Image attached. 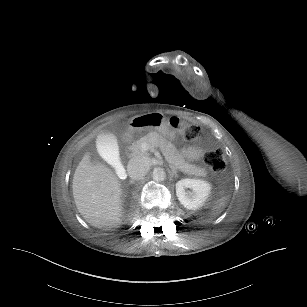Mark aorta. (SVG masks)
Wrapping results in <instances>:
<instances>
[{
    "label": "aorta",
    "instance_id": "762f6f07",
    "mask_svg": "<svg viewBox=\"0 0 307 307\" xmlns=\"http://www.w3.org/2000/svg\"><path fill=\"white\" fill-rule=\"evenodd\" d=\"M152 176H153V180H155V181H157V182H160V181L165 180V178H166V172H165L164 169L161 168V167H155V168L153 169Z\"/></svg>",
    "mask_w": 307,
    "mask_h": 307
}]
</instances>
